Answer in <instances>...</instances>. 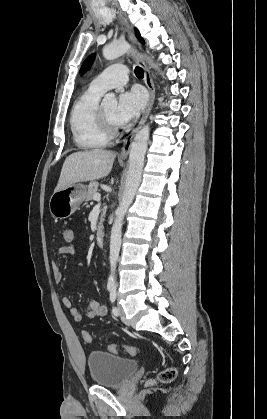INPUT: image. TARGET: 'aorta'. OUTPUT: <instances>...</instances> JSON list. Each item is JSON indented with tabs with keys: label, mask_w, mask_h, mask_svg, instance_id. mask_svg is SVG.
I'll return each mask as SVG.
<instances>
[{
	"label": "aorta",
	"mask_w": 267,
	"mask_h": 419,
	"mask_svg": "<svg viewBox=\"0 0 267 419\" xmlns=\"http://www.w3.org/2000/svg\"><path fill=\"white\" fill-rule=\"evenodd\" d=\"M130 46L126 42H116L106 46L103 49V56L107 60H113L127 52H129ZM149 64L155 69H158L157 65L148 61ZM115 95L108 93L103 99V104H116ZM150 134V128L145 125L135 135L131 144V150L129 155V167L125 183V188L122 196V200L116 210V218L114 220L111 237H110V266L111 274L108 279V287L115 286V271L116 265L119 258V252L121 248V236H122V225L124 217L127 213L128 208L134 200L135 194L141 182V175L144 166V157L147 150V144Z\"/></svg>",
	"instance_id": "1"
}]
</instances>
